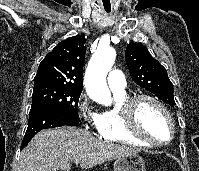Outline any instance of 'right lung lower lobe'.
I'll use <instances>...</instances> for the list:
<instances>
[{
	"label": "right lung lower lobe",
	"mask_w": 199,
	"mask_h": 171,
	"mask_svg": "<svg viewBox=\"0 0 199 171\" xmlns=\"http://www.w3.org/2000/svg\"><path fill=\"white\" fill-rule=\"evenodd\" d=\"M78 123L79 120L55 108L45 107L30 110L28 128L22 141L21 149L27 146L31 138L42 129L60 127L64 125L76 126Z\"/></svg>",
	"instance_id": "obj_1"
}]
</instances>
